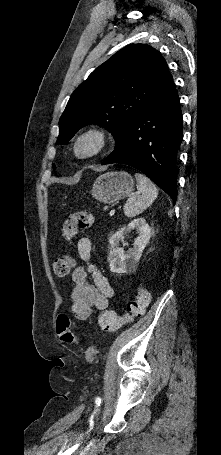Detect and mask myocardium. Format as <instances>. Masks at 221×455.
I'll use <instances>...</instances> for the list:
<instances>
[{"instance_id":"myocardium-1","label":"myocardium","mask_w":221,"mask_h":455,"mask_svg":"<svg viewBox=\"0 0 221 455\" xmlns=\"http://www.w3.org/2000/svg\"><path fill=\"white\" fill-rule=\"evenodd\" d=\"M107 142V135L103 129L89 127L77 135L73 143V151L77 158L88 159L101 153ZM85 145H89V148L84 151Z\"/></svg>"}]
</instances>
